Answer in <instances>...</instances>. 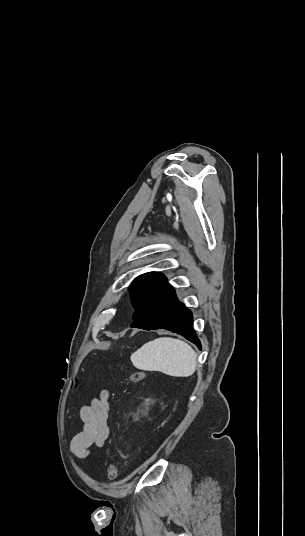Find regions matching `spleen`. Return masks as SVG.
Listing matches in <instances>:
<instances>
[{
  "mask_svg": "<svg viewBox=\"0 0 305 536\" xmlns=\"http://www.w3.org/2000/svg\"><path fill=\"white\" fill-rule=\"evenodd\" d=\"M196 358L194 350L186 342L174 338H157L134 352L130 360L137 370L188 378L196 370Z\"/></svg>",
  "mask_w": 305,
  "mask_h": 536,
  "instance_id": "spleen-1",
  "label": "spleen"
}]
</instances>
